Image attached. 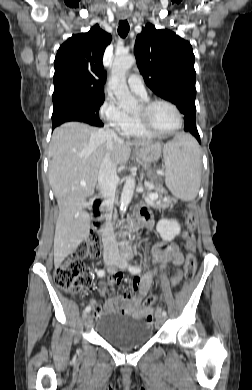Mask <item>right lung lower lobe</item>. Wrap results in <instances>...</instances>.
Masks as SVG:
<instances>
[{"instance_id":"obj_1","label":"right lung lower lobe","mask_w":252,"mask_h":390,"mask_svg":"<svg viewBox=\"0 0 252 390\" xmlns=\"http://www.w3.org/2000/svg\"><path fill=\"white\" fill-rule=\"evenodd\" d=\"M68 121H80V120L68 119V120L57 121V122H55V123H52V124H53L52 130H53L55 127L59 126L60 124H62V123H64V122H68ZM80 122H85V121H80ZM85 123H88V122H85ZM88 124H90V123H88ZM91 125H92V124H91ZM94 126H96V125H94ZM99 127H101V126H99Z\"/></svg>"}]
</instances>
